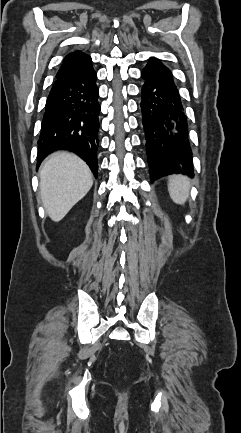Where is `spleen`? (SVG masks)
<instances>
[{
  "label": "spleen",
  "instance_id": "obj_1",
  "mask_svg": "<svg viewBox=\"0 0 241 433\" xmlns=\"http://www.w3.org/2000/svg\"><path fill=\"white\" fill-rule=\"evenodd\" d=\"M168 191L173 202L184 205L189 197V178L183 175H173L168 182Z\"/></svg>",
  "mask_w": 241,
  "mask_h": 433
}]
</instances>
